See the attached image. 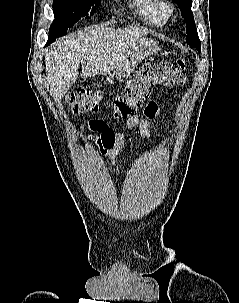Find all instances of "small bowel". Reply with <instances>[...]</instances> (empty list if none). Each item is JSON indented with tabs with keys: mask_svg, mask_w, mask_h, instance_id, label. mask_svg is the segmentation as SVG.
Listing matches in <instances>:
<instances>
[{
	"mask_svg": "<svg viewBox=\"0 0 239 303\" xmlns=\"http://www.w3.org/2000/svg\"><path fill=\"white\" fill-rule=\"evenodd\" d=\"M159 117V107L155 100H151L144 108L142 117H131L127 120L129 127H138L143 136L149 137L152 134L150 123ZM96 120H90L84 124V128L99 134L97 137V146L99 151L105 156V159L111 169L118 168L115 156L124 144V136L119 132H115L109 128H98Z\"/></svg>",
	"mask_w": 239,
	"mask_h": 303,
	"instance_id": "obj_1",
	"label": "small bowel"
}]
</instances>
